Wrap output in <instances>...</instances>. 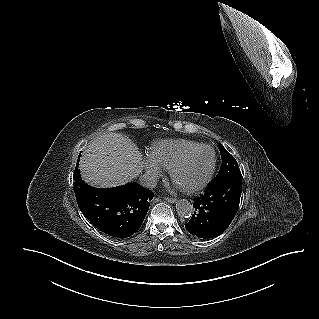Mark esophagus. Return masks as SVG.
Instances as JSON below:
<instances>
[{
    "mask_svg": "<svg viewBox=\"0 0 319 319\" xmlns=\"http://www.w3.org/2000/svg\"><path fill=\"white\" fill-rule=\"evenodd\" d=\"M164 200L169 202V203H176L177 202V199L171 198V197H165Z\"/></svg>",
    "mask_w": 319,
    "mask_h": 319,
    "instance_id": "obj_1",
    "label": "esophagus"
}]
</instances>
